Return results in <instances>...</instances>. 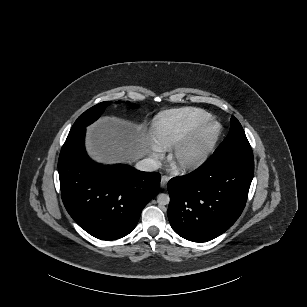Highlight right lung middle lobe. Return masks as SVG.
<instances>
[{"label": "right lung middle lobe", "mask_w": 307, "mask_h": 307, "mask_svg": "<svg viewBox=\"0 0 307 307\" xmlns=\"http://www.w3.org/2000/svg\"><path fill=\"white\" fill-rule=\"evenodd\" d=\"M117 103H120V101H118ZM109 104L110 102H101L81 114L73 124L69 135L76 133L77 131L85 128L86 126L97 120ZM130 106L133 108L137 107L136 104H130Z\"/></svg>", "instance_id": "1"}]
</instances>
